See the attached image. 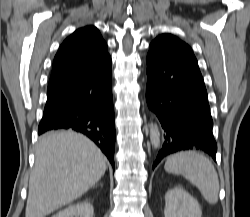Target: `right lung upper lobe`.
Returning a JSON list of instances; mask_svg holds the SVG:
<instances>
[{"label":"right lung upper lobe","instance_id":"cb5924a9","mask_svg":"<svg viewBox=\"0 0 250 217\" xmlns=\"http://www.w3.org/2000/svg\"><path fill=\"white\" fill-rule=\"evenodd\" d=\"M99 30L86 26L64 40L53 62L48 90L83 78L110 60Z\"/></svg>","mask_w":250,"mask_h":217}]
</instances>
